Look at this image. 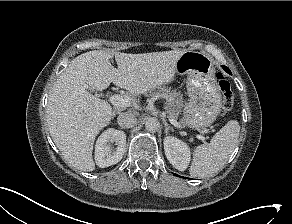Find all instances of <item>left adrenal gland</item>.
I'll return each mask as SVG.
<instances>
[{"label":"left adrenal gland","instance_id":"left-adrenal-gland-1","mask_svg":"<svg viewBox=\"0 0 292 224\" xmlns=\"http://www.w3.org/2000/svg\"><path fill=\"white\" fill-rule=\"evenodd\" d=\"M163 123L165 126V134L168 135V131L169 130L173 131V128L166 121H164Z\"/></svg>","mask_w":292,"mask_h":224}]
</instances>
